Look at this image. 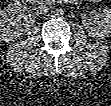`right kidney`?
Segmentation results:
<instances>
[{
  "mask_svg": "<svg viewBox=\"0 0 111 106\" xmlns=\"http://www.w3.org/2000/svg\"><path fill=\"white\" fill-rule=\"evenodd\" d=\"M26 6L21 1L10 2L0 12L1 15V39L14 41L22 38L33 26L34 19L23 16ZM23 17V21L21 18Z\"/></svg>",
  "mask_w": 111,
  "mask_h": 106,
  "instance_id": "obj_1",
  "label": "right kidney"
}]
</instances>
